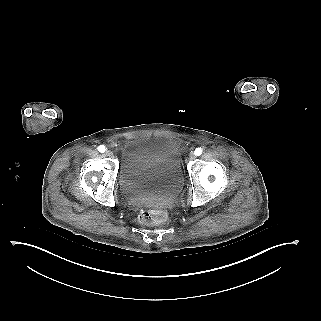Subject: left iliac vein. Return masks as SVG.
<instances>
[{
	"mask_svg": "<svg viewBox=\"0 0 321 321\" xmlns=\"http://www.w3.org/2000/svg\"><path fill=\"white\" fill-rule=\"evenodd\" d=\"M189 158H190L191 160H194V159L196 158L195 153L191 152V153L189 154Z\"/></svg>",
	"mask_w": 321,
	"mask_h": 321,
	"instance_id": "1",
	"label": "left iliac vein"
}]
</instances>
